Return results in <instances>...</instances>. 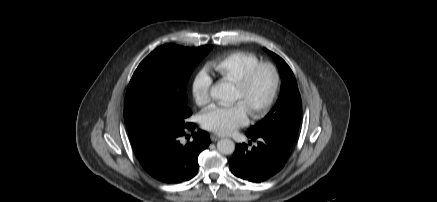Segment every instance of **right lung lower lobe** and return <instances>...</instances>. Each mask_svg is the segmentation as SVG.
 <instances>
[{
  "label": "right lung lower lobe",
  "instance_id": "obj_1",
  "mask_svg": "<svg viewBox=\"0 0 437 202\" xmlns=\"http://www.w3.org/2000/svg\"><path fill=\"white\" fill-rule=\"evenodd\" d=\"M194 128V123H186L180 128H170L144 146L135 149L145 171L164 183H180L193 178L199 168L198 155L210 144L208 133L199 130L194 133L193 141L183 145L180 142L181 137Z\"/></svg>",
  "mask_w": 437,
  "mask_h": 202
}]
</instances>
